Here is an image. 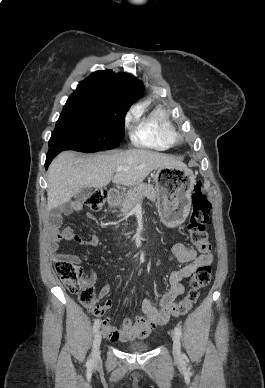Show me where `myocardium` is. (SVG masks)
<instances>
[{
  "instance_id": "1",
  "label": "myocardium",
  "mask_w": 265,
  "mask_h": 388,
  "mask_svg": "<svg viewBox=\"0 0 265 388\" xmlns=\"http://www.w3.org/2000/svg\"><path fill=\"white\" fill-rule=\"evenodd\" d=\"M174 140L176 141V142H179V141H181L182 139H183V133H178V132H174Z\"/></svg>"
}]
</instances>
